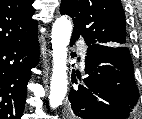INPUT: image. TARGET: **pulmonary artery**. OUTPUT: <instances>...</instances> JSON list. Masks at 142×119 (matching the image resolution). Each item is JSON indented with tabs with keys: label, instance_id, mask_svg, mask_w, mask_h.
I'll list each match as a JSON object with an SVG mask.
<instances>
[{
	"label": "pulmonary artery",
	"instance_id": "pulmonary-artery-1",
	"mask_svg": "<svg viewBox=\"0 0 142 119\" xmlns=\"http://www.w3.org/2000/svg\"><path fill=\"white\" fill-rule=\"evenodd\" d=\"M80 56L82 61H85V57H86V49L84 46L80 45Z\"/></svg>",
	"mask_w": 142,
	"mask_h": 119
}]
</instances>
